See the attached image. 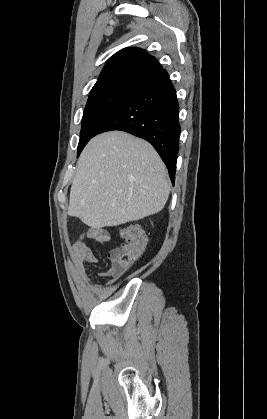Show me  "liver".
<instances>
[{"instance_id": "liver-1", "label": "liver", "mask_w": 267, "mask_h": 419, "mask_svg": "<svg viewBox=\"0 0 267 419\" xmlns=\"http://www.w3.org/2000/svg\"><path fill=\"white\" fill-rule=\"evenodd\" d=\"M169 193L166 167L151 144L105 132L78 159L68 215L94 229L117 226L160 212Z\"/></svg>"}]
</instances>
